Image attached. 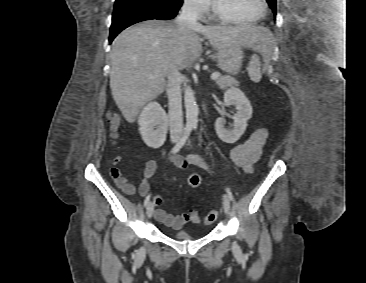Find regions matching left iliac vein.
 Listing matches in <instances>:
<instances>
[{"instance_id": "1", "label": "left iliac vein", "mask_w": 366, "mask_h": 283, "mask_svg": "<svg viewBox=\"0 0 366 283\" xmlns=\"http://www.w3.org/2000/svg\"><path fill=\"white\" fill-rule=\"evenodd\" d=\"M223 209L226 214L230 213V202L227 195H223Z\"/></svg>"}]
</instances>
